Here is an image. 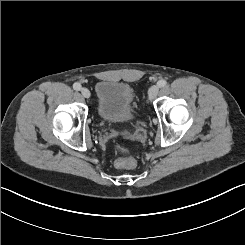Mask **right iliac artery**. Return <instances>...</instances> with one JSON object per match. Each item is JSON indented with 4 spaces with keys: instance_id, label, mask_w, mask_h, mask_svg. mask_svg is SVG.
Wrapping results in <instances>:
<instances>
[{
    "instance_id": "obj_1",
    "label": "right iliac artery",
    "mask_w": 245,
    "mask_h": 245,
    "mask_svg": "<svg viewBox=\"0 0 245 245\" xmlns=\"http://www.w3.org/2000/svg\"><path fill=\"white\" fill-rule=\"evenodd\" d=\"M73 88L74 90L79 91L82 88V86L79 83H74Z\"/></svg>"
}]
</instances>
